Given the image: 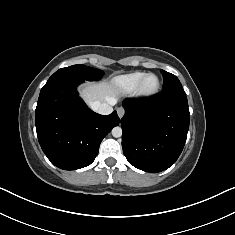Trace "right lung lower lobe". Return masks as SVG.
Returning <instances> with one entry per match:
<instances>
[{
  "mask_svg": "<svg viewBox=\"0 0 235 235\" xmlns=\"http://www.w3.org/2000/svg\"><path fill=\"white\" fill-rule=\"evenodd\" d=\"M79 78L48 81L41 89L35 125L40 146L55 166L76 170L90 165L103 138L119 124L114 111L100 115L78 96Z\"/></svg>",
  "mask_w": 235,
  "mask_h": 235,
  "instance_id": "1",
  "label": "right lung lower lobe"
}]
</instances>
